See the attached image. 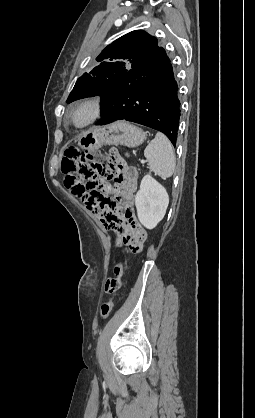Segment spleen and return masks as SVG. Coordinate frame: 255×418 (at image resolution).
I'll return each mask as SVG.
<instances>
[{"label": "spleen", "instance_id": "1", "mask_svg": "<svg viewBox=\"0 0 255 418\" xmlns=\"http://www.w3.org/2000/svg\"><path fill=\"white\" fill-rule=\"evenodd\" d=\"M144 155L150 171L162 179L169 178L175 171V154L169 139L157 132L154 139L147 145Z\"/></svg>", "mask_w": 255, "mask_h": 418}]
</instances>
